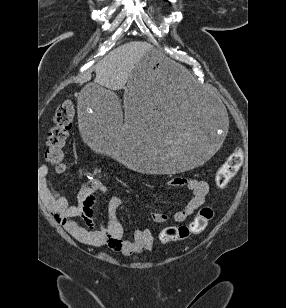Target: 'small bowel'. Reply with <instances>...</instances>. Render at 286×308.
Masks as SVG:
<instances>
[{
    "mask_svg": "<svg viewBox=\"0 0 286 308\" xmlns=\"http://www.w3.org/2000/svg\"><path fill=\"white\" fill-rule=\"evenodd\" d=\"M169 185L186 186L192 196L183 209L176 212L172 219L177 222H184L198 208H200L209 192V185L204 180L188 179L184 177L173 178ZM105 186L97 178H92L84 183L81 188L78 203L71 205L68 199L60 195L50 185L49 207L53 217L61 223L66 230L78 240L93 245L107 246L111 250L124 255H133L143 250L154 248V237L149 229H136L132 240L124 239V228L118 218V210L122 205L119 197H111L108 202L107 225L101 229L92 228L94 219L98 215L96 205L98 199L104 194ZM80 217L85 221V226L75 220ZM168 215L161 212L152 213V220L155 223L167 221Z\"/></svg>",
    "mask_w": 286,
    "mask_h": 308,
    "instance_id": "obj_1",
    "label": "small bowel"
}]
</instances>
